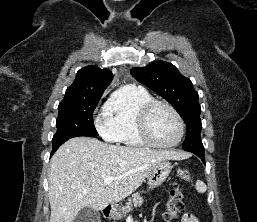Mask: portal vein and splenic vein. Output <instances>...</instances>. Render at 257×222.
Returning <instances> with one entry per match:
<instances>
[{"label":"portal vein and splenic vein","mask_w":257,"mask_h":222,"mask_svg":"<svg viewBox=\"0 0 257 222\" xmlns=\"http://www.w3.org/2000/svg\"><path fill=\"white\" fill-rule=\"evenodd\" d=\"M113 180H114L113 177H106V178H104V180H103V184H104V185H109V184H111V183L113 182Z\"/></svg>","instance_id":"portal-vein-and-splenic-vein-1"}]
</instances>
